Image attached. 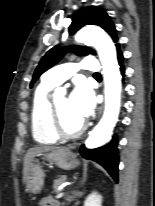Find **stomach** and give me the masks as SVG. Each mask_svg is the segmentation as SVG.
<instances>
[{
	"label": "stomach",
	"mask_w": 155,
	"mask_h": 206,
	"mask_svg": "<svg viewBox=\"0 0 155 206\" xmlns=\"http://www.w3.org/2000/svg\"><path fill=\"white\" fill-rule=\"evenodd\" d=\"M44 158L64 170H69L79 165V160L76 155L67 148L53 150L45 154ZM37 162V160L32 162L26 180L27 190L32 194L40 193L44 185V171Z\"/></svg>",
	"instance_id": "1"
}]
</instances>
